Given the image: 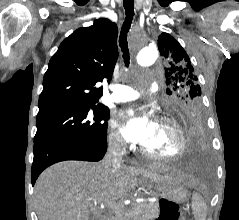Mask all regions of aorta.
<instances>
[{"label":"aorta","mask_w":239,"mask_h":220,"mask_svg":"<svg viewBox=\"0 0 239 220\" xmlns=\"http://www.w3.org/2000/svg\"><path fill=\"white\" fill-rule=\"evenodd\" d=\"M158 57V51L154 46H144L137 53V63L140 66L147 67L153 64Z\"/></svg>","instance_id":"762f6f07"}]
</instances>
